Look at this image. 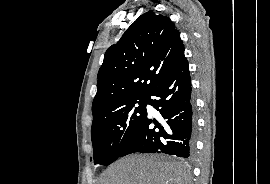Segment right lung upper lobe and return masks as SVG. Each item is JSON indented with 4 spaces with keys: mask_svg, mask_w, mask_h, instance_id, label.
I'll return each mask as SVG.
<instances>
[{
    "mask_svg": "<svg viewBox=\"0 0 270 184\" xmlns=\"http://www.w3.org/2000/svg\"><path fill=\"white\" fill-rule=\"evenodd\" d=\"M184 59L174 23L153 11L141 15L105 53L92 104L93 123L130 100L147 97Z\"/></svg>",
    "mask_w": 270,
    "mask_h": 184,
    "instance_id": "right-lung-upper-lobe-1",
    "label": "right lung upper lobe"
}]
</instances>
